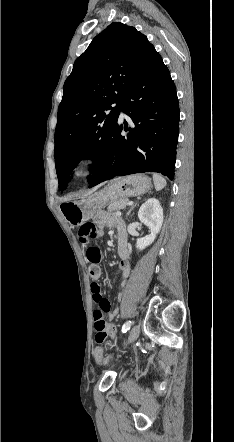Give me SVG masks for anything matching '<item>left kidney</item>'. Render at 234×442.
I'll return each mask as SVG.
<instances>
[{
  "instance_id": "5707ae66",
  "label": "left kidney",
  "mask_w": 234,
  "mask_h": 442,
  "mask_svg": "<svg viewBox=\"0 0 234 442\" xmlns=\"http://www.w3.org/2000/svg\"><path fill=\"white\" fill-rule=\"evenodd\" d=\"M138 218L150 229L149 235L137 239L136 246L139 250H143L154 242L163 223V209L159 200L156 198H149L141 205L138 211Z\"/></svg>"
}]
</instances>
